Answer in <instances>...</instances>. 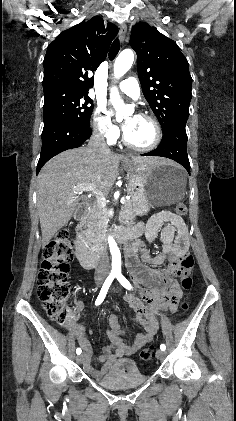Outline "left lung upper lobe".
<instances>
[{
  "mask_svg": "<svg viewBox=\"0 0 236 421\" xmlns=\"http://www.w3.org/2000/svg\"><path fill=\"white\" fill-rule=\"evenodd\" d=\"M130 45L137 53L143 94L162 131L175 120H187L192 97L189 65L178 45L147 23L136 24Z\"/></svg>",
  "mask_w": 236,
  "mask_h": 421,
  "instance_id": "left-lung-upper-lobe-1",
  "label": "left lung upper lobe"
}]
</instances>
